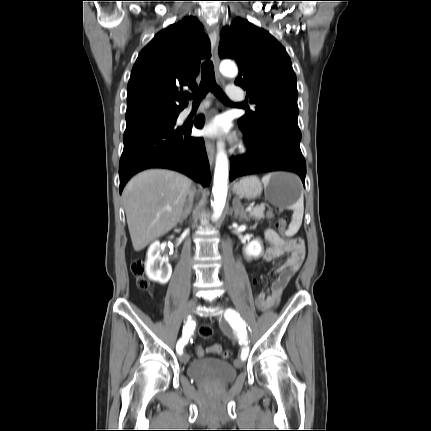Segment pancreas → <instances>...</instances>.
I'll use <instances>...</instances> for the list:
<instances>
[{
    "label": "pancreas",
    "instance_id": "obj_1",
    "mask_svg": "<svg viewBox=\"0 0 431 431\" xmlns=\"http://www.w3.org/2000/svg\"><path fill=\"white\" fill-rule=\"evenodd\" d=\"M265 206L264 205H260V206H256L255 208H253L250 213H249V217L254 218L256 220H261L265 218ZM268 218H271L272 215H267Z\"/></svg>",
    "mask_w": 431,
    "mask_h": 431
}]
</instances>
